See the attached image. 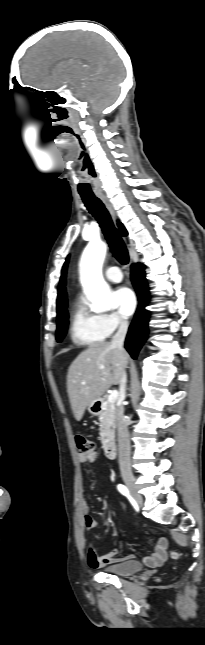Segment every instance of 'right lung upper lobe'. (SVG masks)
Listing matches in <instances>:
<instances>
[{
    "label": "right lung upper lobe",
    "instance_id": "obj_1",
    "mask_svg": "<svg viewBox=\"0 0 205 645\" xmlns=\"http://www.w3.org/2000/svg\"><path fill=\"white\" fill-rule=\"evenodd\" d=\"M119 230L123 236L127 235V231L124 228V226L121 223H118ZM67 262L68 259L66 260L63 269H62V275L60 279V284L58 287V298H57V318L61 315V313L66 309L67 307V299H66V291H65V271L67 267Z\"/></svg>",
    "mask_w": 205,
    "mask_h": 645
}]
</instances>
